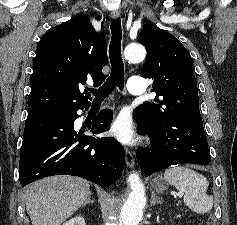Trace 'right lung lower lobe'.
<instances>
[{"label":"right lung lower lobe","instance_id":"obj_1","mask_svg":"<svg viewBox=\"0 0 237 225\" xmlns=\"http://www.w3.org/2000/svg\"><path fill=\"white\" fill-rule=\"evenodd\" d=\"M89 105L27 117L19 164L23 186L47 176L74 175L106 187L121 177L125 163L122 145L111 137L95 139L74 130L77 110ZM112 116V110L101 111L88 130L103 132Z\"/></svg>","mask_w":237,"mask_h":225}]
</instances>
